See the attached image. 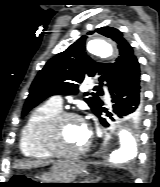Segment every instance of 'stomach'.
<instances>
[{
	"label": "stomach",
	"mask_w": 160,
	"mask_h": 187,
	"mask_svg": "<svg viewBox=\"0 0 160 187\" xmlns=\"http://www.w3.org/2000/svg\"><path fill=\"white\" fill-rule=\"evenodd\" d=\"M82 171V166L74 160H58L48 173L39 177V183H72Z\"/></svg>",
	"instance_id": "obj_1"
}]
</instances>
